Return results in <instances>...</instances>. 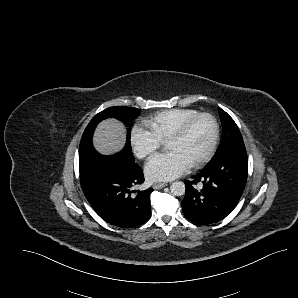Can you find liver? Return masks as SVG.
<instances>
[{"label":"liver","instance_id":"6515ba94","mask_svg":"<svg viewBox=\"0 0 298 298\" xmlns=\"http://www.w3.org/2000/svg\"><path fill=\"white\" fill-rule=\"evenodd\" d=\"M125 132L124 125L116 119L103 120L93 137L96 150L105 155L121 150L126 138Z\"/></svg>","mask_w":298,"mask_h":298}]
</instances>
